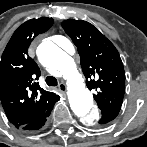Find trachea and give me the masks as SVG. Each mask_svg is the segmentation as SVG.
<instances>
[{"label": "trachea", "instance_id": "3493384b", "mask_svg": "<svg viewBox=\"0 0 147 147\" xmlns=\"http://www.w3.org/2000/svg\"><path fill=\"white\" fill-rule=\"evenodd\" d=\"M45 81L48 86H57L58 84L57 79L53 76H47Z\"/></svg>", "mask_w": 147, "mask_h": 147}]
</instances>
